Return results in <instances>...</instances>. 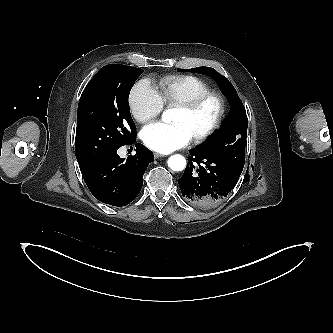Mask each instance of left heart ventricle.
<instances>
[{
  "mask_svg": "<svg viewBox=\"0 0 333 333\" xmlns=\"http://www.w3.org/2000/svg\"><path fill=\"white\" fill-rule=\"evenodd\" d=\"M218 112V103L210 100L194 113L177 109L173 122L183 124L194 137L206 131L214 123Z\"/></svg>",
  "mask_w": 333,
  "mask_h": 333,
  "instance_id": "b2bd125f",
  "label": "left heart ventricle"
}]
</instances>
